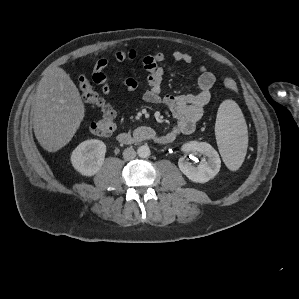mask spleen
I'll use <instances>...</instances> for the list:
<instances>
[{
    "mask_svg": "<svg viewBox=\"0 0 299 299\" xmlns=\"http://www.w3.org/2000/svg\"><path fill=\"white\" fill-rule=\"evenodd\" d=\"M215 135L226 166L232 171L237 170L245 158L248 137L245 118L235 101L225 100L220 104Z\"/></svg>",
    "mask_w": 299,
    "mask_h": 299,
    "instance_id": "3e777b00",
    "label": "spleen"
}]
</instances>
